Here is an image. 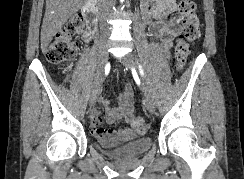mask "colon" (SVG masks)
Returning <instances> with one entry per match:
<instances>
[{
    "mask_svg": "<svg viewBox=\"0 0 244 179\" xmlns=\"http://www.w3.org/2000/svg\"><path fill=\"white\" fill-rule=\"evenodd\" d=\"M178 16L183 27L179 40L176 43L174 53V65L181 69L187 62L193 43L199 37L200 21L196 13V6L191 0H181L178 5ZM83 22L80 19H71L53 39L46 52V59L54 65H63L76 58L78 46L74 38L82 30ZM136 132L147 130L144 121L140 118L133 120Z\"/></svg>",
    "mask_w": 244,
    "mask_h": 179,
    "instance_id": "obj_1",
    "label": "colon"
}]
</instances>
